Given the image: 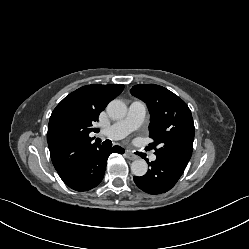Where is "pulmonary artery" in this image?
Segmentation results:
<instances>
[{"instance_id": "e3ab8cb5", "label": "pulmonary artery", "mask_w": 249, "mask_h": 249, "mask_svg": "<svg viewBox=\"0 0 249 249\" xmlns=\"http://www.w3.org/2000/svg\"><path fill=\"white\" fill-rule=\"evenodd\" d=\"M147 107L141 101H134L130 104L126 116L110 127L101 131L103 137L119 140L139 128L146 117ZM152 161L156 160V155L150 156Z\"/></svg>"}]
</instances>
